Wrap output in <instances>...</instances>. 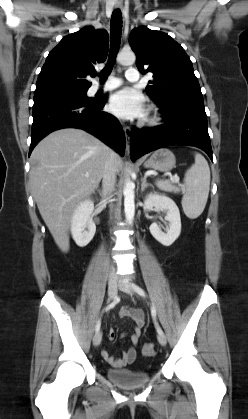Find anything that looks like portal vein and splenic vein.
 Returning <instances> with one entry per match:
<instances>
[{"label": "portal vein and splenic vein", "mask_w": 248, "mask_h": 419, "mask_svg": "<svg viewBox=\"0 0 248 419\" xmlns=\"http://www.w3.org/2000/svg\"><path fill=\"white\" fill-rule=\"evenodd\" d=\"M170 180H171L172 182L177 183V182H179V177H178V176H171V177H170Z\"/></svg>", "instance_id": "18ae733b"}]
</instances>
